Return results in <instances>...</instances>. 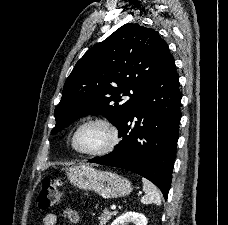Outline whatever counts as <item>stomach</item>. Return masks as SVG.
<instances>
[{
    "label": "stomach",
    "mask_w": 228,
    "mask_h": 225,
    "mask_svg": "<svg viewBox=\"0 0 228 225\" xmlns=\"http://www.w3.org/2000/svg\"><path fill=\"white\" fill-rule=\"evenodd\" d=\"M69 179L74 187L83 191H94L103 199H120L133 191L132 183L128 179L111 171H97L85 163L72 167Z\"/></svg>",
    "instance_id": "1"
}]
</instances>
